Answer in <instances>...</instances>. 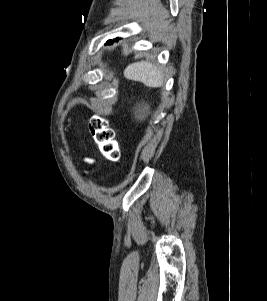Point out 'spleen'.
Returning <instances> with one entry per match:
<instances>
[{
	"mask_svg": "<svg viewBox=\"0 0 267 301\" xmlns=\"http://www.w3.org/2000/svg\"><path fill=\"white\" fill-rule=\"evenodd\" d=\"M124 76L129 80L142 82L149 87L156 88L163 84L162 71L146 61L128 65L124 70Z\"/></svg>",
	"mask_w": 267,
	"mask_h": 301,
	"instance_id": "3e777b00",
	"label": "spleen"
}]
</instances>
